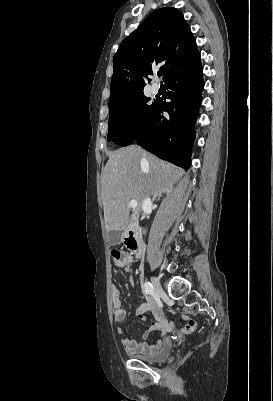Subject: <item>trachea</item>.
I'll use <instances>...</instances> for the list:
<instances>
[{"instance_id": "3493384b", "label": "trachea", "mask_w": 273, "mask_h": 401, "mask_svg": "<svg viewBox=\"0 0 273 401\" xmlns=\"http://www.w3.org/2000/svg\"><path fill=\"white\" fill-rule=\"evenodd\" d=\"M157 75H158V77H161V76H162V72L159 71V72L157 73Z\"/></svg>"}]
</instances>
